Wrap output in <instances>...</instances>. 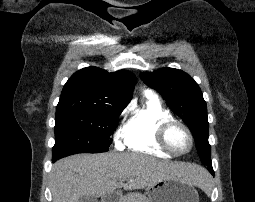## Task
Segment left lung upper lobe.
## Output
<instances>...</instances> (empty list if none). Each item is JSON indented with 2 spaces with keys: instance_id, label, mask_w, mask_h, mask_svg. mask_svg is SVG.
Segmentation results:
<instances>
[{
  "instance_id": "left-lung-upper-lobe-1",
  "label": "left lung upper lobe",
  "mask_w": 255,
  "mask_h": 202,
  "mask_svg": "<svg viewBox=\"0 0 255 202\" xmlns=\"http://www.w3.org/2000/svg\"><path fill=\"white\" fill-rule=\"evenodd\" d=\"M140 77L162 95L169 108L189 127L202 163H211L206 102L194 79L182 70L173 68L144 72Z\"/></svg>"
}]
</instances>
